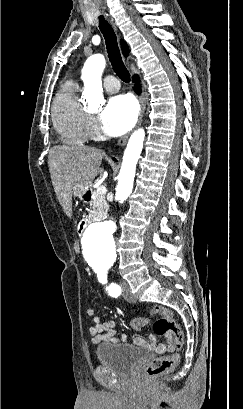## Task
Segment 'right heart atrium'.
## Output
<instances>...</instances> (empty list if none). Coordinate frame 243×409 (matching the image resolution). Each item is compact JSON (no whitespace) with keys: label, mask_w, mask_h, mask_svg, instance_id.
I'll return each mask as SVG.
<instances>
[{"label":"right heart atrium","mask_w":243,"mask_h":409,"mask_svg":"<svg viewBox=\"0 0 243 409\" xmlns=\"http://www.w3.org/2000/svg\"><path fill=\"white\" fill-rule=\"evenodd\" d=\"M87 132L90 139H96L100 135L95 119L89 115L87 116Z\"/></svg>","instance_id":"obj_1"}]
</instances>
